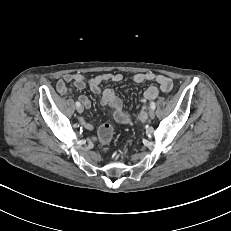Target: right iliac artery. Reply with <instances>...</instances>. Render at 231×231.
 Masks as SVG:
<instances>
[{
	"instance_id": "82829eb1",
	"label": "right iliac artery",
	"mask_w": 231,
	"mask_h": 231,
	"mask_svg": "<svg viewBox=\"0 0 231 231\" xmlns=\"http://www.w3.org/2000/svg\"><path fill=\"white\" fill-rule=\"evenodd\" d=\"M76 106L78 107V106H81V104H80V102H78V101H76Z\"/></svg>"
}]
</instances>
